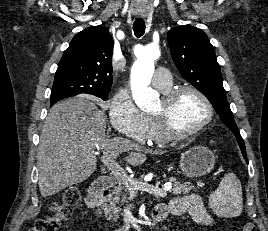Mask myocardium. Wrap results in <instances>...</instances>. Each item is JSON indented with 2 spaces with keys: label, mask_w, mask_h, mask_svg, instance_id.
Segmentation results:
<instances>
[{
  "label": "myocardium",
  "mask_w": 268,
  "mask_h": 231,
  "mask_svg": "<svg viewBox=\"0 0 268 231\" xmlns=\"http://www.w3.org/2000/svg\"><path fill=\"white\" fill-rule=\"evenodd\" d=\"M184 92H191L198 96L206 107V117L195 128L180 132L177 131L172 121V110L176 99ZM152 115L156 119L162 133L168 140H185L199 134L213 119L214 109L208 96L197 87L192 85H179L171 88L167 93L163 94L160 107Z\"/></svg>",
  "instance_id": "myocardium-1"
}]
</instances>
